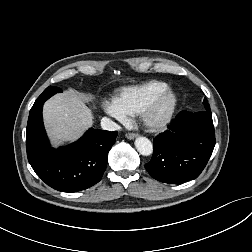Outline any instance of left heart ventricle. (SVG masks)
<instances>
[{
    "label": "left heart ventricle",
    "instance_id": "obj_1",
    "mask_svg": "<svg viewBox=\"0 0 252 252\" xmlns=\"http://www.w3.org/2000/svg\"><path fill=\"white\" fill-rule=\"evenodd\" d=\"M168 106H169V99L164 98L156 108L155 112L153 113V116L159 117L162 113L166 111Z\"/></svg>",
    "mask_w": 252,
    "mask_h": 252
}]
</instances>
